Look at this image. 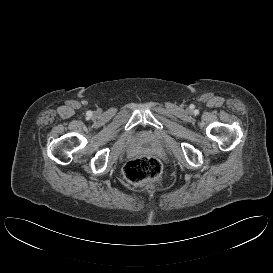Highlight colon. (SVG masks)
<instances>
[{"label":"colon","instance_id":"obj_1","mask_svg":"<svg viewBox=\"0 0 273 273\" xmlns=\"http://www.w3.org/2000/svg\"><path fill=\"white\" fill-rule=\"evenodd\" d=\"M162 165L152 156L143 155L126 163L124 178L133 185L157 182L161 176Z\"/></svg>","mask_w":273,"mask_h":273}]
</instances>
